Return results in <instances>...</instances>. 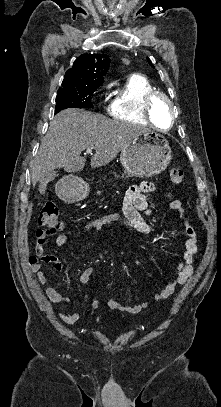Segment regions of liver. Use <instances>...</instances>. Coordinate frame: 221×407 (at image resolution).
<instances>
[{
    "instance_id": "liver-1",
    "label": "liver",
    "mask_w": 221,
    "mask_h": 407,
    "mask_svg": "<svg viewBox=\"0 0 221 407\" xmlns=\"http://www.w3.org/2000/svg\"><path fill=\"white\" fill-rule=\"evenodd\" d=\"M145 132L147 129L143 127L89 111L63 110L50 121L32 162V185L57 168L68 173L81 171L86 163L81 153L87 149L95 150L90 160L91 168L107 165L132 139Z\"/></svg>"
}]
</instances>
